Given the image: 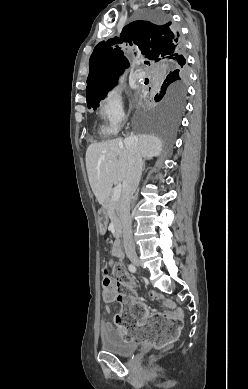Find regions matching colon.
Listing matches in <instances>:
<instances>
[{"instance_id": "obj_1", "label": "colon", "mask_w": 248, "mask_h": 389, "mask_svg": "<svg viewBox=\"0 0 248 389\" xmlns=\"http://www.w3.org/2000/svg\"><path fill=\"white\" fill-rule=\"evenodd\" d=\"M118 284H112L113 277H104L103 299L105 301L116 300L123 304L121 311L116 315L115 321L118 327L125 332L127 344H155L158 350H163L165 344H176L181 329V321L178 317L163 315L162 311H153L148 318V307L142 301H136L137 294L130 289H122V285H135L136 280L131 273H126L119 266L112 271ZM131 295V296H130ZM136 301V302H135ZM146 318V319H145ZM147 325L139 326L140 322Z\"/></svg>"}]
</instances>
